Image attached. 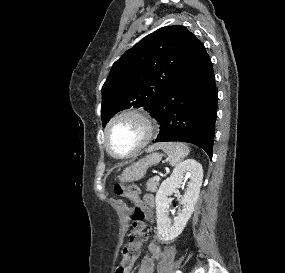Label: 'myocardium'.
<instances>
[{
    "instance_id": "1",
    "label": "myocardium",
    "mask_w": 285,
    "mask_h": 273,
    "mask_svg": "<svg viewBox=\"0 0 285 273\" xmlns=\"http://www.w3.org/2000/svg\"><path fill=\"white\" fill-rule=\"evenodd\" d=\"M125 117H133L138 119L144 128V135L140 142L137 144V146L130 151L127 154L124 155H118L114 153L110 147L109 141H108V136L109 132L112 128V126L119 120L125 118ZM157 125L154 120V118L146 111L137 109V108H129L120 111L119 113L115 114L107 123V125L104 128L103 132V143L106 151L113 156L114 158L117 159H127L130 158L134 155H136L138 152H140L154 137L156 133Z\"/></svg>"
}]
</instances>
